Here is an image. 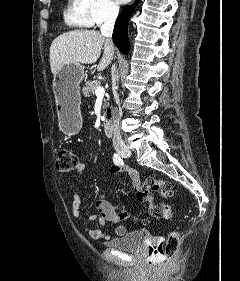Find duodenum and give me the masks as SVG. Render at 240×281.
<instances>
[{
    "instance_id": "duodenum-1",
    "label": "duodenum",
    "mask_w": 240,
    "mask_h": 281,
    "mask_svg": "<svg viewBox=\"0 0 240 281\" xmlns=\"http://www.w3.org/2000/svg\"><path fill=\"white\" fill-rule=\"evenodd\" d=\"M103 130L106 136L111 137L113 135L114 124L110 115L107 116L103 123Z\"/></svg>"
}]
</instances>
